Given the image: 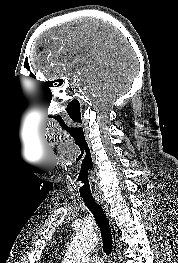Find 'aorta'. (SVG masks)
Instances as JSON below:
<instances>
[{
    "mask_svg": "<svg viewBox=\"0 0 178 263\" xmlns=\"http://www.w3.org/2000/svg\"><path fill=\"white\" fill-rule=\"evenodd\" d=\"M98 243V237L91 230L82 229L74 236L62 263H85Z\"/></svg>",
    "mask_w": 178,
    "mask_h": 263,
    "instance_id": "aorta-1",
    "label": "aorta"
}]
</instances>
